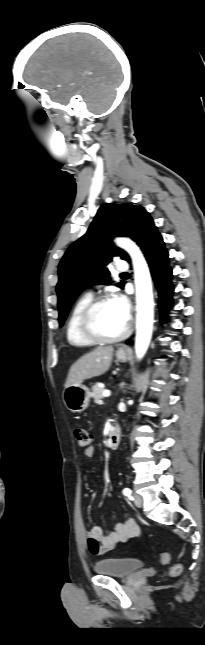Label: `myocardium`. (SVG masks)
<instances>
[{
    "label": "myocardium",
    "mask_w": 205,
    "mask_h": 645,
    "mask_svg": "<svg viewBox=\"0 0 205 645\" xmlns=\"http://www.w3.org/2000/svg\"><path fill=\"white\" fill-rule=\"evenodd\" d=\"M109 296H99L92 299L87 306L84 308L81 318H80V327L81 331L86 338L93 341L94 343H112L124 339L130 332L131 326L127 322L126 327L119 334L114 336H105L99 333L95 328V315L98 308L104 303L110 301Z\"/></svg>",
    "instance_id": "f54148a6"
}]
</instances>
